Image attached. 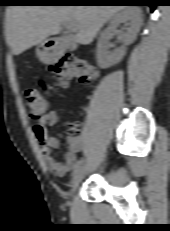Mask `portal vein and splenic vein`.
<instances>
[{
	"label": "portal vein and splenic vein",
	"instance_id": "portal-vein-and-splenic-vein-1",
	"mask_svg": "<svg viewBox=\"0 0 170 231\" xmlns=\"http://www.w3.org/2000/svg\"><path fill=\"white\" fill-rule=\"evenodd\" d=\"M65 27L70 31H75V29L71 25H65Z\"/></svg>",
	"mask_w": 170,
	"mask_h": 231
}]
</instances>
